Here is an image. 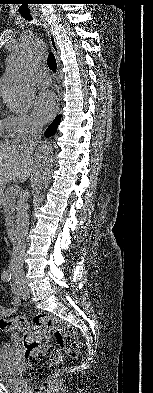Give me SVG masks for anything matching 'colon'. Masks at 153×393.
I'll return each mask as SVG.
<instances>
[{"label": "colon", "mask_w": 153, "mask_h": 393, "mask_svg": "<svg viewBox=\"0 0 153 393\" xmlns=\"http://www.w3.org/2000/svg\"><path fill=\"white\" fill-rule=\"evenodd\" d=\"M0 330L22 333L25 355L21 378L33 393H43L63 366L61 350L49 344L51 335L70 357L77 358L82 351L83 343L75 330L50 314L39 313L32 323L24 316L0 318Z\"/></svg>", "instance_id": "obj_1"}]
</instances>
